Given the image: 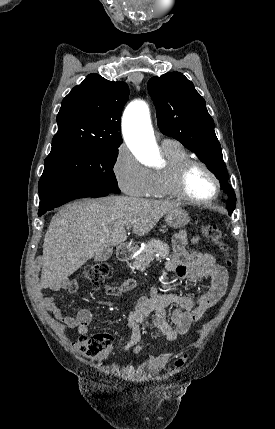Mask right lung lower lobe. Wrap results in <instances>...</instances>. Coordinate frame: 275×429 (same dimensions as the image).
I'll return each instance as SVG.
<instances>
[{
  "label": "right lung lower lobe",
  "instance_id": "98d812e1",
  "mask_svg": "<svg viewBox=\"0 0 275 429\" xmlns=\"http://www.w3.org/2000/svg\"><path fill=\"white\" fill-rule=\"evenodd\" d=\"M108 194L110 193L103 192V191L86 190V189H74V190L60 192V193L51 195L45 199H42L40 201L38 215L41 216L44 213H46V211L52 210L74 199L86 198V197H103V196H107Z\"/></svg>",
  "mask_w": 275,
  "mask_h": 429
}]
</instances>
